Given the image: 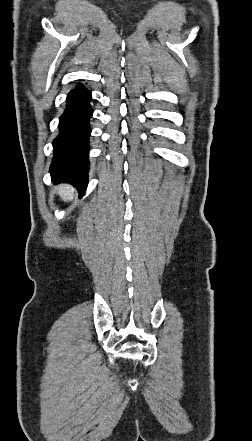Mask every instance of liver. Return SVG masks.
Returning <instances> with one entry per match:
<instances>
[{"label":"liver","mask_w":252,"mask_h":441,"mask_svg":"<svg viewBox=\"0 0 252 441\" xmlns=\"http://www.w3.org/2000/svg\"><path fill=\"white\" fill-rule=\"evenodd\" d=\"M58 194L62 198V200L68 202L71 201L74 197V188L70 185H60L58 188Z\"/></svg>","instance_id":"liver-1"}]
</instances>
